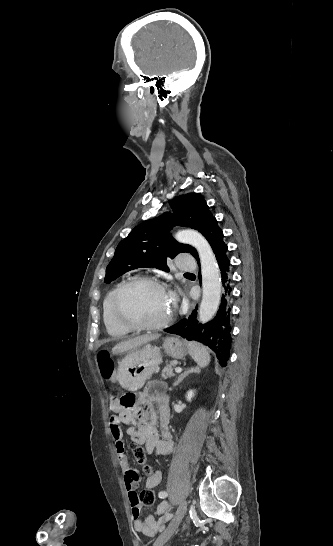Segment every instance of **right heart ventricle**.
Returning <instances> with one entry per match:
<instances>
[{
  "instance_id": "1",
  "label": "right heart ventricle",
  "mask_w": 333,
  "mask_h": 546,
  "mask_svg": "<svg viewBox=\"0 0 333 546\" xmlns=\"http://www.w3.org/2000/svg\"><path fill=\"white\" fill-rule=\"evenodd\" d=\"M125 282V280L116 283L106 294L102 304V317L108 334L112 337H123L127 335L130 330L122 326L116 319L113 312V301L115 294L119 287Z\"/></svg>"
}]
</instances>
